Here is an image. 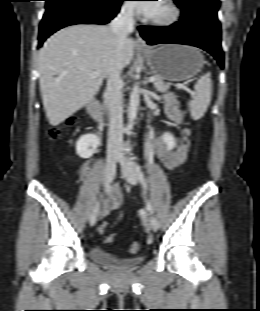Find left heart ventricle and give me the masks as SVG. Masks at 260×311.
I'll list each match as a JSON object with an SVG mask.
<instances>
[{"instance_id": "1", "label": "left heart ventricle", "mask_w": 260, "mask_h": 311, "mask_svg": "<svg viewBox=\"0 0 260 311\" xmlns=\"http://www.w3.org/2000/svg\"><path fill=\"white\" fill-rule=\"evenodd\" d=\"M169 14L168 8L166 6V4L163 2V0H160L156 11L154 12V14L151 17L154 18H160V17H165Z\"/></svg>"}]
</instances>
